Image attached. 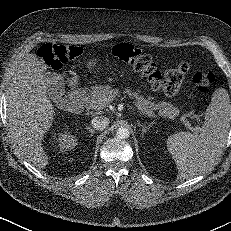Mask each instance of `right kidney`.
Returning <instances> with one entry per match:
<instances>
[{"label":"right kidney","mask_w":231,"mask_h":231,"mask_svg":"<svg viewBox=\"0 0 231 231\" xmlns=\"http://www.w3.org/2000/svg\"><path fill=\"white\" fill-rule=\"evenodd\" d=\"M61 137H59V146H60V149L61 151H65V150H71L73 149L76 145H77V142H76V139L74 136L72 135H69V134H61L60 135Z\"/></svg>","instance_id":"1"}]
</instances>
